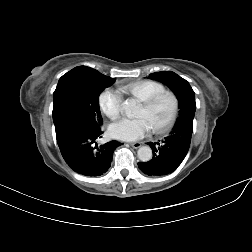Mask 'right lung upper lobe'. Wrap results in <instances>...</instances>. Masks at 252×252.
Returning <instances> with one entry per match:
<instances>
[{
	"instance_id": "obj_1",
	"label": "right lung upper lobe",
	"mask_w": 252,
	"mask_h": 252,
	"mask_svg": "<svg viewBox=\"0 0 252 252\" xmlns=\"http://www.w3.org/2000/svg\"><path fill=\"white\" fill-rule=\"evenodd\" d=\"M83 72H98L95 69L86 67V66H78L75 67L74 69H72L71 71L67 72L64 75H70V74H74V73H83Z\"/></svg>"
}]
</instances>
